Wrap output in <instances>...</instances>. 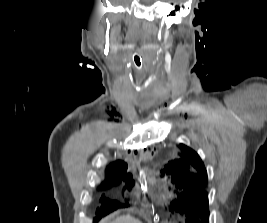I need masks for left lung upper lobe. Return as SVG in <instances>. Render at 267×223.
I'll use <instances>...</instances> for the list:
<instances>
[{"mask_svg": "<svg viewBox=\"0 0 267 223\" xmlns=\"http://www.w3.org/2000/svg\"><path fill=\"white\" fill-rule=\"evenodd\" d=\"M180 147L181 153L162 170V174H169L175 186L182 190L177 192L179 203H170L163 209V214H186L197 218L195 223H208L207 171L194 150L184 144Z\"/></svg>", "mask_w": 267, "mask_h": 223, "instance_id": "1", "label": "left lung upper lobe"}]
</instances>
